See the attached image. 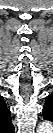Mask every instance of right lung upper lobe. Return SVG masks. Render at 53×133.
Returning a JSON list of instances; mask_svg holds the SVG:
<instances>
[{
    "label": "right lung upper lobe",
    "instance_id": "right-lung-upper-lobe-1",
    "mask_svg": "<svg viewBox=\"0 0 53 133\" xmlns=\"http://www.w3.org/2000/svg\"><path fill=\"white\" fill-rule=\"evenodd\" d=\"M0 129L5 133H13L14 127L11 122V112L6 107L5 101L0 97Z\"/></svg>",
    "mask_w": 53,
    "mask_h": 133
}]
</instances>
